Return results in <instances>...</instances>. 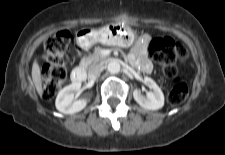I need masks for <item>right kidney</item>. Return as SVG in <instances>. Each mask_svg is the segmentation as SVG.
Instances as JSON below:
<instances>
[{"instance_id":"1","label":"right kidney","mask_w":225,"mask_h":155,"mask_svg":"<svg viewBox=\"0 0 225 155\" xmlns=\"http://www.w3.org/2000/svg\"><path fill=\"white\" fill-rule=\"evenodd\" d=\"M81 88V82H74L64 87L57 95L56 108L64 114H74L83 110L87 105V99L74 100V92Z\"/></svg>"}]
</instances>
